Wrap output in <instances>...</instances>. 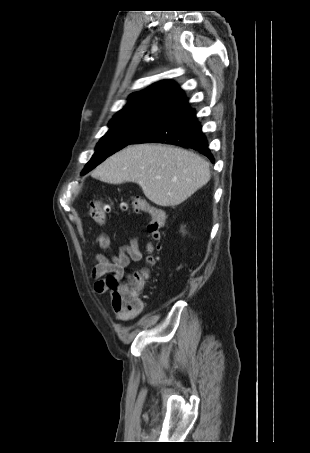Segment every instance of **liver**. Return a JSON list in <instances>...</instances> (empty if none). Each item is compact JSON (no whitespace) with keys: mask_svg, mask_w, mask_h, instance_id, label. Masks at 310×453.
I'll list each match as a JSON object with an SVG mask.
<instances>
[{"mask_svg":"<svg viewBox=\"0 0 310 453\" xmlns=\"http://www.w3.org/2000/svg\"><path fill=\"white\" fill-rule=\"evenodd\" d=\"M91 176L102 182H136L159 206L184 202L210 180L209 163L182 148L162 144L128 146L107 158Z\"/></svg>","mask_w":310,"mask_h":453,"instance_id":"liver-1","label":"liver"}]
</instances>
